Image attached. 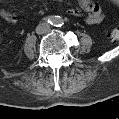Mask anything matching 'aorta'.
<instances>
[{"label": "aorta", "mask_w": 119, "mask_h": 119, "mask_svg": "<svg viewBox=\"0 0 119 119\" xmlns=\"http://www.w3.org/2000/svg\"><path fill=\"white\" fill-rule=\"evenodd\" d=\"M52 23H53L55 26H60V25H62L63 20H62V18H60V17H55V18L52 19Z\"/></svg>", "instance_id": "1"}]
</instances>
